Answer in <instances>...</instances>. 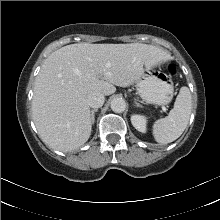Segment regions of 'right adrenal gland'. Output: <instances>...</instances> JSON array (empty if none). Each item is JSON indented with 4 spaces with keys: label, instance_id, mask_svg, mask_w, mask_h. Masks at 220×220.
<instances>
[{
    "label": "right adrenal gland",
    "instance_id": "obj_1",
    "mask_svg": "<svg viewBox=\"0 0 220 220\" xmlns=\"http://www.w3.org/2000/svg\"><path fill=\"white\" fill-rule=\"evenodd\" d=\"M98 109L91 110V122L92 124L95 122V112H97Z\"/></svg>",
    "mask_w": 220,
    "mask_h": 220
}]
</instances>
